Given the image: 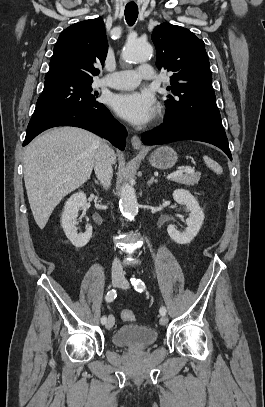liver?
I'll list each match as a JSON object with an SVG mask.
<instances>
[{
	"label": "liver",
	"instance_id": "1",
	"mask_svg": "<svg viewBox=\"0 0 265 407\" xmlns=\"http://www.w3.org/2000/svg\"><path fill=\"white\" fill-rule=\"evenodd\" d=\"M104 146L101 138L87 130L59 127L38 136L26 147L24 182L40 229L59 202L90 178Z\"/></svg>",
	"mask_w": 265,
	"mask_h": 407
}]
</instances>
